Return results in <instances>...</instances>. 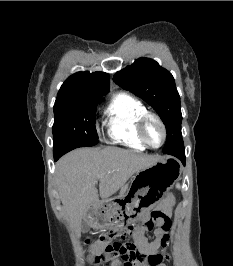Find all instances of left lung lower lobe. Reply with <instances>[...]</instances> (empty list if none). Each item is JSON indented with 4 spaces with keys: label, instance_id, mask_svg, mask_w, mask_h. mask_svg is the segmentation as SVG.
Masks as SVG:
<instances>
[{
    "label": "left lung lower lobe",
    "instance_id": "left-lung-lower-lobe-1",
    "mask_svg": "<svg viewBox=\"0 0 233 266\" xmlns=\"http://www.w3.org/2000/svg\"><path fill=\"white\" fill-rule=\"evenodd\" d=\"M165 153L169 154V155H172V156H175L176 158L181 160L183 165H185V151H184L183 141L175 144L174 147H172L171 149L167 150Z\"/></svg>",
    "mask_w": 233,
    "mask_h": 266
}]
</instances>
